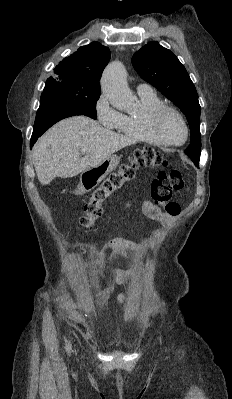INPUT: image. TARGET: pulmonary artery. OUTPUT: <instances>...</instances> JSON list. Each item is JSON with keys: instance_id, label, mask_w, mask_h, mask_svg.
Listing matches in <instances>:
<instances>
[{"instance_id": "1", "label": "pulmonary artery", "mask_w": 232, "mask_h": 399, "mask_svg": "<svg viewBox=\"0 0 232 399\" xmlns=\"http://www.w3.org/2000/svg\"><path fill=\"white\" fill-rule=\"evenodd\" d=\"M142 89L138 90V95L139 96H152L153 95V90L151 83H142L141 85Z\"/></svg>"}]
</instances>
